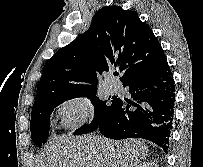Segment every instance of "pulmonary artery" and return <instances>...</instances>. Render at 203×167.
I'll list each match as a JSON object with an SVG mask.
<instances>
[{"mask_svg": "<svg viewBox=\"0 0 203 167\" xmlns=\"http://www.w3.org/2000/svg\"><path fill=\"white\" fill-rule=\"evenodd\" d=\"M119 84L113 80H108L107 81V88L111 91V92H117L119 90Z\"/></svg>", "mask_w": 203, "mask_h": 167, "instance_id": "pulmonary-artery-1", "label": "pulmonary artery"}]
</instances>
